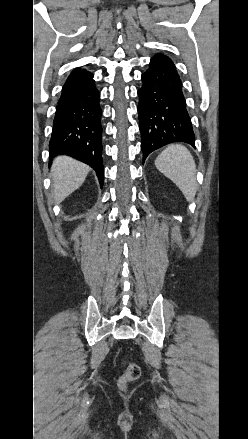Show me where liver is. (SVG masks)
Returning <instances> with one entry per match:
<instances>
[{"label":"liver","mask_w":248,"mask_h":439,"mask_svg":"<svg viewBox=\"0 0 248 439\" xmlns=\"http://www.w3.org/2000/svg\"><path fill=\"white\" fill-rule=\"evenodd\" d=\"M89 166L67 156L54 159L51 178L53 182V201L58 204L78 189L89 172Z\"/></svg>","instance_id":"obj_1"}]
</instances>
